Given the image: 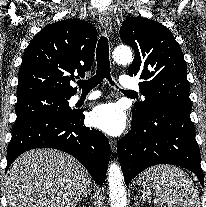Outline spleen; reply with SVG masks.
Wrapping results in <instances>:
<instances>
[{"label": "spleen", "instance_id": "1", "mask_svg": "<svg viewBox=\"0 0 206 207\" xmlns=\"http://www.w3.org/2000/svg\"><path fill=\"white\" fill-rule=\"evenodd\" d=\"M148 190H155L159 202L168 207H200V198L192 179L179 167L154 166L138 178Z\"/></svg>", "mask_w": 206, "mask_h": 207}]
</instances>
